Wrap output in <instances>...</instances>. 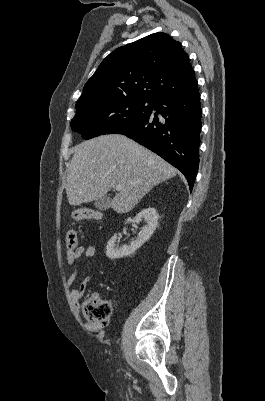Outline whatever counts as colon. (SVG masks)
<instances>
[{
  "label": "colon",
  "mask_w": 265,
  "mask_h": 401,
  "mask_svg": "<svg viewBox=\"0 0 265 401\" xmlns=\"http://www.w3.org/2000/svg\"><path fill=\"white\" fill-rule=\"evenodd\" d=\"M101 215L99 212L88 209L78 208L73 211L72 218L76 221L81 220H98ZM66 249L71 252L77 247V235L74 230H69L66 234ZM112 302L103 300L98 296L87 298L82 305V310L87 321L93 325H101L106 323L112 313Z\"/></svg>",
  "instance_id": "5ec220e1"
}]
</instances>
